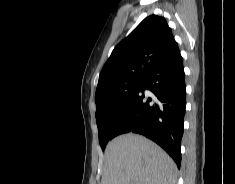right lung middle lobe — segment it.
Wrapping results in <instances>:
<instances>
[{
  "label": "right lung middle lobe",
  "instance_id": "1",
  "mask_svg": "<svg viewBox=\"0 0 235 184\" xmlns=\"http://www.w3.org/2000/svg\"><path fill=\"white\" fill-rule=\"evenodd\" d=\"M142 79L111 88L106 93L105 103L96 107L99 143L102 150L109 140L116 137L115 128L134 95L142 87Z\"/></svg>",
  "mask_w": 235,
  "mask_h": 184
}]
</instances>
